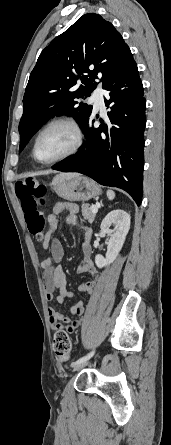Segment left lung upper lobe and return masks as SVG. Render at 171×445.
I'll return each instance as SVG.
<instances>
[{"mask_svg": "<svg viewBox=\"0 0 171 445\" xmlns=\"http://www.w3.org/2000/svg\"><path fill=\"white\" fill-rule=\"evenodd\" d=\"M133 63L128 45L110 22L94 13L80 17L41 52L30 74L19 123L20 150L54 115L72 116L82 129L92 106L78 100L90 96L96 79L103 87ZM78 80L83 85L78 87Z\"/></svg>", "mask_w": 171, "mask_h": 445, "instance_id": "left-lung-upper-lobe-1", "label": "left lung upper lobe"}]
</instances>
